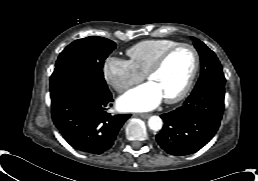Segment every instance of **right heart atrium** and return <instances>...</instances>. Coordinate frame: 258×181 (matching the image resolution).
<instances>
[{
  "label": "right heart atrium",
  "mask_w": 258,
  "mask_h": 181,
  "mask_svg": "<svg viewBox=\"0 0 258 181\" xmlns=\"http://www.w3.org/2000/svg\"><path fill=\"white\" fill-rule=\"evenodd\" d=\"M102 72L105 81L118 92H124L144 79L128 60L114 56L105 59Z\"/></svg>",
  "instance_id": "obj_1"
}]
</instances>
